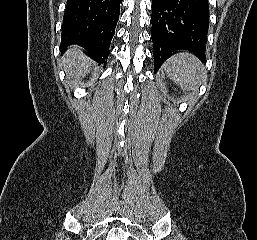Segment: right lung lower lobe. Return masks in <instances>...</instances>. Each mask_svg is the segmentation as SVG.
Here are the masks:
<instances>
[{"label":"right lung lower lobe","mask_w":257,"mask_h":240,"mask_svg":"<svg viewBox=\"0 0 257 240\" xmlns=\"http://www.w3.org/2000/svg\"><path fill=\"white\" fill-rule=\"evenodd\" d=\"M121 3L122 0H67L61 51L76 44L86 49L96 62L107 60Z\"/></svg>","instance_id":"obj_1"}]
</instances>
